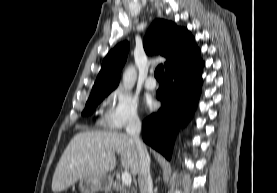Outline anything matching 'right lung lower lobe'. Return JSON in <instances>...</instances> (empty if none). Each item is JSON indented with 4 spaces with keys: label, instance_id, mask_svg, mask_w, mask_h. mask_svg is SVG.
Wrapping results in <instances>:
<instances>
[{
    "label": "right lung lower lobe",
    "instance_id": "right-lung-lower-lobe-1",
    "mask_svg": "<svg viewBox=\"0 0 277 193\" xmlns=\"http://www.w3.org/2000/svg\"><path fill=\"white\" fill-rule=\"evenodd\" d=\"M196 49L184 60L165 71L164 82L156 93L161 108L143 121V140L171 158L175 135L192 117L202 87L203 61Z\"/></svg>",
    "mask_w": 277,
    "mask_h": 193
}]
</instances>
